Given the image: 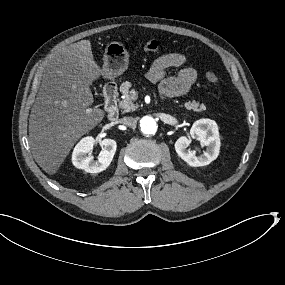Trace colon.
Segmentation results:
<instances>
[{
	"label": "colon",
	"mask_w": 285,
	"mask_h": 285,
	"mask_svg": "<svg viewBox=\"0 0 285 285\" xmlns=\"http://www.w3.org/2000/svg\"><path fill=\"white\" fill-rule=\"evenodd\" d=\"M140 47L143 51L148 53L156 52L159 49V43L156 40H146L140 42ZM208 82L213 85H218L219 79L213 72H207L205 75Z\"/></svg>",
	"instance_id": "1"
}]
</instances>
